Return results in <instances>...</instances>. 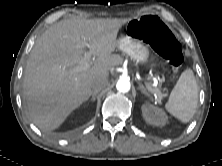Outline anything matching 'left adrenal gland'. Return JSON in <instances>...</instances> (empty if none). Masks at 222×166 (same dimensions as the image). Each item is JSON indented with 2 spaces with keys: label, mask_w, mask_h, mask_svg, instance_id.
I'll return each instance as SVG.
<instances>
[{
  "label": "left adrenal gland",
  "mask_w": 222,
  "mask_h": 166,
  "mask_svg": "<svg viewBox=\"0 0 222 166\" xmlns=\"http://www.w3.org/2000/svg\"><path fill=\"white\" fill-rule=\"evenodd\" d=\"M138 85H139V89L141 90V92L149 96V94H148L147 90L145 89V87L143 86V84L138 82Z\"/></svg>",
  "instance_id": "left-adrenal-gland-1"
}]
</instances>
